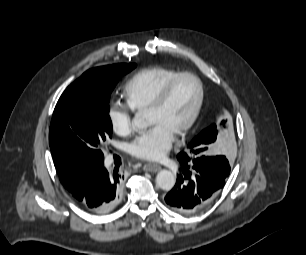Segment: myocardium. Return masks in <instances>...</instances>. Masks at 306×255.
<instances>
[{"instance_id": "obj_1", "label": "myocardium", "mask_w": 306, "mask_h": 255, "mask_svg": "<svg viewBox=\"0 0 306 255\" xmlns=\"http://www.w3.org/2000/svg\"><path fill=\"white\" fill-rule=\"evenodd\" d=\"M184 77H191L197 82L199 86V98L191 117L183 126L178 129V131L174 134L175 137H181L185 135L194 126L201 114L205 100V87L202 80L192 72H179L163 86V88L158 92V94L155 96V98L152 100V102L147 108V111H154L159 109L166 101L176 82Z\"/></svg>"}]
</instances>
